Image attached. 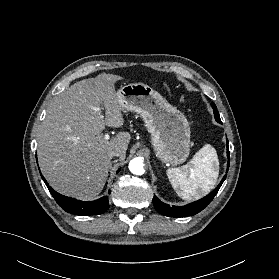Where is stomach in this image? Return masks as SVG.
<instances>
[{
    "label": "stomach",
    "instance_id": "1",
    "mask_svg": "<svg viewBox=\"0 0 279 279\" xmlns=\"http://www.w3.org/2000/svg\"><path fill=\"white\" fill-rule=\"evenodd\" d=\"M117 96L123 109L143 118L156 156L162 162L178 165L186 161L190 152V126L182 112L143 83L124 85Z\"/></svg>",
    "mask_w": 279,
    "mask_h": 279
}]
</instances>
